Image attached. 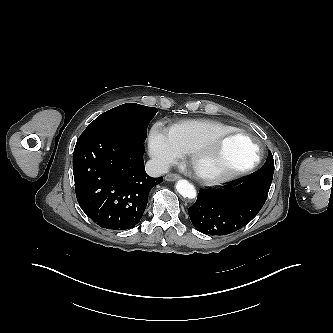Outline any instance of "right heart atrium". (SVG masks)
<instances>
[{
  "label": "right heart atrium",
  "instance_id": "obj_1",
  "mask_svg": "<svg viewBox=\"0 0 333 333\" xmlns=\"http://www.w3.org/2000/svg\"><path fill=\"white\" fill-rule=\"evenodd\" d=\"M149 153L159 169H166L180 160L185 152L170 129L155 123L149 133Z\"/></svg>",
  "mask_w": 333,
  "mask_h": 333
}]
</instances>
